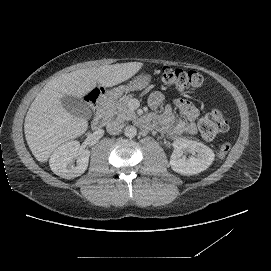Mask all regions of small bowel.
Returning <instances> with one entry per match:
<instances>
[{
    "label": "small bowel",
    "mask_w": 271,
    "mask_h": 271,
    "mask_svg": "<svg viewBox=\"0 0 271 271\" xmlns=\"http://www.w3.org/2000/svg\"><path fill=\"white\" fill-rule=\"evenodd\" d=\"M165 102V96L160 92H153L148 99L152 109L165 105L162 114L158 117L160 127L173 136L196 134V120L200 115L198 107L188 100L176 99L173 105L181 114V117H177L173 106Z\"/></svg>",
    "instance_id": "1"
}]
</instances>
